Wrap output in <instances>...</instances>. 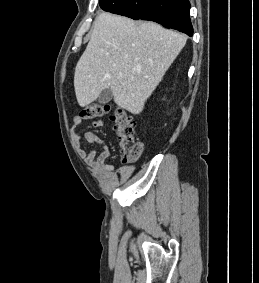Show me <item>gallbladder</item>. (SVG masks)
I'll return each instance as SVG.
<instances>
[{
	"instance_id": "bac80fb5",
	"label": "gallbladder",
	"mask_w": 259,
	"mask_h": 283,
	"mask_svg": "<svg viewBox=\"0 0 259 283\" xmlns=\"http://www.w3.org/2000/svg\"><path fill=\"white\" fill-rule=\"evenodd\" d=\"M112 98H113V93L110 88H107L100 93L98 97V102L100 104H106L109 101H111Z\"/></svg>"
}]
</instances>
